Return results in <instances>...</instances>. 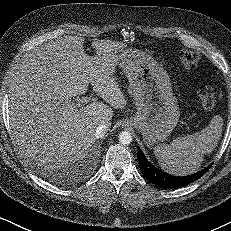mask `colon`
I'll list each match as a JSON object with an SVG mask.
<instances>
[{
	"label": "colon",
	"instance_id": "colon-1",
	"mask_svg": "<svg viewBox=\"0 0 231 231\" xmlns=\"http://www.w3.org/2000/svg\"><path fill=\"white\" fill-rule=\"evenodd\" d=\"M200 62V55L193 51H182L178 55V63L183 71L194 70ZM196 93L201 105L206 109H212L216 104V91L214 87L201 80L195 82Z\"/></svg>",
	"mask_w": 231,
	"mask_h": 231
}]
</instances>
